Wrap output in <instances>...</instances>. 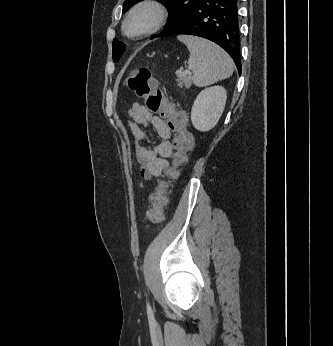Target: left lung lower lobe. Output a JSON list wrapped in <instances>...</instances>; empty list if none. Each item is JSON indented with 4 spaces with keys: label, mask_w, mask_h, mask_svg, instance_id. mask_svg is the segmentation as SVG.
Masks as SVG:
<instances>
[{
    "label": "left lung lower lobe",
    "mask_w": 333,
    "mask_h": 346,
    "mask_svg": "<svg viewBox=\"0 0 333 346\" xmlns=\"http://www.w3.org/2000/svg\"><path fill=\"white\" fill-rule=\"evenodd\" d=\"M188 34L221 46L241 74L240 32L237 0H196L186 16L159 37Z\"/></svg>",
    "instance_id": "obj_1"
}]
</instances>
